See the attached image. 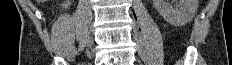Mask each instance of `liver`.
Segmentation results:
<instances>
[{
    "label": "liver",
    "instance_id": "6515ba94",
    "mask_svg": "<svg viewBox=\"0 0 232 65\" xmlns=\"http://www.w3.org/2000/svg\"><path fill=\"white\" fill-rule=\"evenodd\" d=\"M39 2L41 1V2H45L46 0H38Z\"/></svg>",
    "mask_w": 232,
    "mask_h": 65
}]
</instances>
